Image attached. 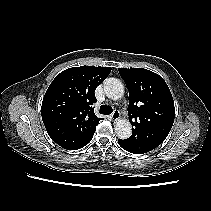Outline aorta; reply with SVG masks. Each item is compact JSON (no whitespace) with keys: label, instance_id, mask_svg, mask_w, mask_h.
<instances>
[{"label":"aorta","instance_id":"1","mask_svg":"<svg viewBox=\"0 0 211 211\" xmlns=\"http://www.w3.org/2000/svg\"><path fill=\"white\" fill-rule=\"evenodd\" d=\"M104 92L112 100H118L123 97L124 86L119 79L107 78L104 81ZM116 135L120 139H127L132 134V126L127 119H120L114 125Z\"/></svg>","mask_w":211,"mask_h":211}]
</instances>
